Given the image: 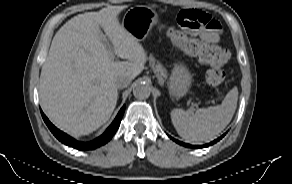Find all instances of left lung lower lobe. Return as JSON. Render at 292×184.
I'll list each match as a JSON object with an SVG mask.
<instances>
[{
    "instance_id": "obj_1",
    "label": "left lung lower lobe",
    "mask_w": 292,
    "mask_h": 184,
    "mask_svg": "<svg viewBox=\"0 0 292 184\" xmlns=\"http://www.w3.org/2000/svg\"><path fill=\"white\" fill-rule=\"evenodd\" d=\"M224 135H225V134H224ZM224 135H222V136L219 137L218 139H216V140H214V141H212L211 143H208V144H206V145H189V144L183 143V142H181V141H178V140H176V139H174V138H172V137H171V139H172L173 141H175L176 143H178V144H180V145H183V146H185V147H188V148H203V147H207V146H210V145L216 143L217 141H219L220 139H222V137H224Z\"/></svg>"
}]
</instances>
